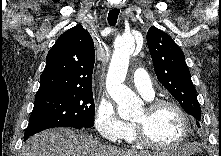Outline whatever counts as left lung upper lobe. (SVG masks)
<instances>
[{"label":"left lung upper lobe","instance_id":"1","mask_svg":"<svg viewBox=\"0 0 221 156\" xmlns=\"http://www.w3.org/2000/svg\"><path fill=\"white\" fill-rule=\"evenodd\" d=\"M147 43L158 80L199 125L201 108L183 51L156 27L148 30Z\"/></svg>","mask_w":221,"mask_h":156}]
</instances>
